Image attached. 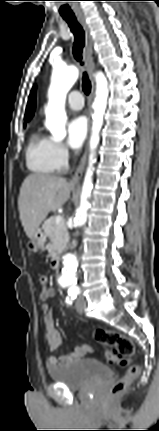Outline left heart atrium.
<instances>
[{
    "label": "left heart atrium",
    "mask_w": 159,
    "mask_h": 431,
    "mask_svg": "<svg viewBox=\"0 0 159 431\" xmlns=\"http://www.w3.org/2000/svg\"><path fill=\"white\" fill-rule=\"evenodd\" d=\"M68 144L73 149H78L83 144L87 135V120L84 116L73 118L67 127Z\"/></svg>",
    "instance_id": "obj_1"
}]
</instances>
